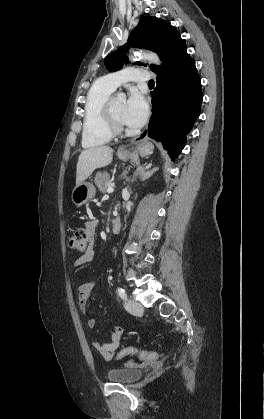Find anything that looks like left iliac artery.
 Segmentation results:
<instances>
[{
    "mask_svg": "<svg viewBox=\"0 0 264 419\" xmlns=\"http://www.w3.org/2000/svg\"><path fill=\"white\" fill-rule=\"evenodd\" d=\"M117 292H118V295H119L122 299H124V300H126V299H127V294H126V292H125V290H124L123 288L118 287V288H117Z\"/></svg>",
    "mask_w": 264,
    "mask_h": 419,
    "instance_id": "obj_1",
    "label": "left iliac artery"
}]
</instances>
